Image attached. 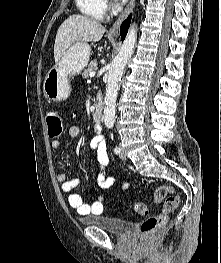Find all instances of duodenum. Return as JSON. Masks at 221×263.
Wrapping results in <instances>:
<instances>
[{
  "instance_id": "obj_1",
  "label": "duodenum",
  "mask_w": 221,
  "mask_h": 263,
  "mask_svg": "<svg viewBox=\"0 0 221 263\" xmlns=\"http://www.w3.org/2000/svg\"><path fill=\"white\" fill-rule=\"evenodd\" d=\"M102 111H103V100L100 95L96 96L95 102V113L93 116V125L97 130L102 128Z\"/></svg>"
}]
</instances>
